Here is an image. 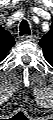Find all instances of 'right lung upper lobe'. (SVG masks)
I'll return each instance as SVG.
<instances>
[{
  "instance_id": "1",
  "label": "right lung upper lobe",
  "mask_w": 53,
  "mask_h": 120,
  "mask_svg": "<svg viewBox=\"0 0 53 120\" xmlns=\"http://www.w3.org/2000/svg\"><path fill=\"white\" fill-rule=\"evenodd\" d=\"M15 41L12 35L4 30L0 29V61H2L5 57L9 49L14 46Z\"/></svg>"
}]
</instances>
